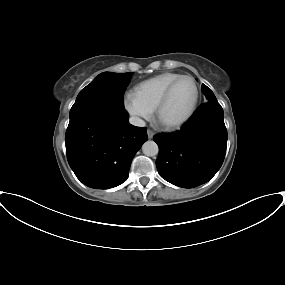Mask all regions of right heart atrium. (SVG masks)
I'll return each instance as SVG.
<instances>
[{"label": "right heart atrium", "mask_w": 285, "mask_h": 285, "mask_svg": "<svg viewBox=\"0 0 285 285\" xmlns=\"http://www.w3.org/2000/svg\"><path fill=\"white\" fill-rule=\"evenodd\" d=\"M123 107L125 111L137 122L149 120L152 111L142 105L133 94H126L123 99Z\"/></svg>", "instance_id": "1"}]
</instances>
